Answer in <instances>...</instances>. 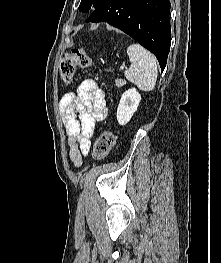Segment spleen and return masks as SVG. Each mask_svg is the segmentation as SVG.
<instances>
[{"instance_id": "1", "label": "spleen", "mask_w": 221, "mask_h": 263, "mask_svg": "<svg viewBox=\"0 0 221 263\" xmlns=\"http://www.w3.org/2000/svg\"><path fill=\"white\" fill-rule=\"evenodd\" d=\"M130 67L125 71L128 81L134 83L142 91L154 89L157 80L156 58L139 44L127 48Z\"/></svg>"}]
</instances>
